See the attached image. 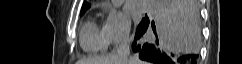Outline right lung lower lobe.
<instances>
[{"label":"right lung lower lobe","instance_id":"98d812e1","mask_svg":"<svg viewBox=\"0 0 242 64\" xmlns=\"http://www.w3.org/2000/svg\"><path fill=\"white\" fill-rule=\"evenodd\" d=\"M159 33L154 43L132 44L139 58L154 64H196L200 42L197 0H156ZM138 29L135 39L147 30ZM152 28L155 26L152 23Z\"/></svg>","mask_w":242,"mask_h":64}]
</instances>
